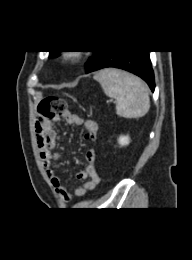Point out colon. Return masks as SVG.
Here are the masks:
<instances>
[{
    "label": "colon",
    "instance_id": "colon-1",
    "mask_svg": "<svg viewBox=\"0 0 192 260\" xmlns=\"http://www.w3.org/2000/svg\"><path fill=\"white\" fill-rule=\"evenodd\" d=\"M69 113L67 104L60 97L50 96L41 101L38 106L39 120H53L63 118ZM87 138H91L90 134L86 133Z\"/></svg>",
    "mask_w": 192,
    "mask_h": 260
}]
</instances>
